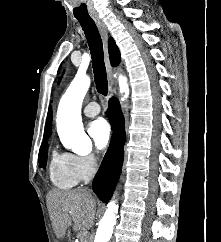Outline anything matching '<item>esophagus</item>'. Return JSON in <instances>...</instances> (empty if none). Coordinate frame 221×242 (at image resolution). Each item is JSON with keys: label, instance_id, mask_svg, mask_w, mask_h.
I'll return each mask as SVG.
<instances>
[{"label": "esophagus", "instance_id": "34e87169", "mask_svg": "<svg viewBox=\"0 0 221 242\" xmlns=\"http://www.w3.org/2000/svg\"><path fill=\"white\" fill-rule=\"evenodd\" d=\"M94 21H95V23H96V25H97V27H98L101 35H102V38H103L104 53H105V64H106V68H107L108 80H109V83H110L108 97L110 98L113 95V86H112V68H111V65H110L108 48H107L108 31H107L106 25L104 24V22L100 18H94Z\"/></svg>", "mask_w": 221, "mask_h": 242}]
</instances>
